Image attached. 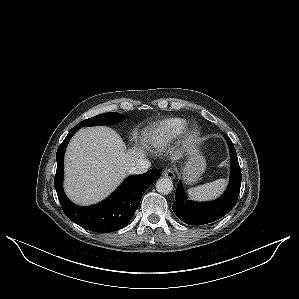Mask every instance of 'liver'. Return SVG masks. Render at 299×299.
<instances>
[{
	"label": "liver",
	"instance_id": "obj_1",
	"mask_svg": "<svg viewBox=\"0 0 299 299\" xmlns=\"http://www.w3.org/2000/svg\"><path fill=\"white\" fill-rule=\"evenodd\" d=\"M143 147L126 150L121 137L106 126L81 128L65 154V192L79 205L105 199L145 160Z\"/></svg>",
	"mask_w": 299,
	"mask_h": 299
}]
</instances>
